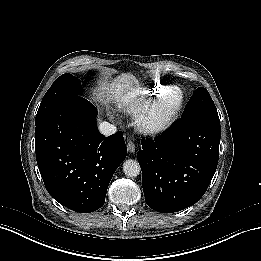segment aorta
Returning a JSON list of instances; mask_svg holds the SVG:
<instances>
[{"mask_svg": "<svg viewBox=\"0 0 261 261\" xmlns=\"http://www.w3.org/2000/svg\"><path fill=\"white\" fill-rule=\"evenodd\" d=\"M123 172L127 177H137L141 173V168L138 161L128 159L123 163Z\"/></svg>", "mask_w": 261, "mask_h": 261, "instance_id": "obj_1", "label": "aorta"}]
</instances>
